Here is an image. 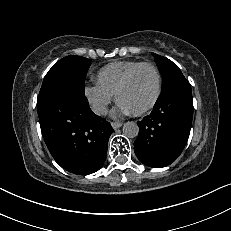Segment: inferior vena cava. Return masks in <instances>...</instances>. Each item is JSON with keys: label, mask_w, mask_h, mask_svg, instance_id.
<instances>
[{"label": "inferior vena cava", "mask_w": 231, "mask_h": 231, "mask_svg": "<svg viewBox=\"0 0 231 231\" xmlns=\"http://www.w3.org/2000/svg\"><path fill=\"white\" fill-rule=\"evenodd\" d=\"M92 111L97 115H105L107 113V108L102 104H93Z\"/></svg>", "instance_id": "602c4592"}]
</instances>
